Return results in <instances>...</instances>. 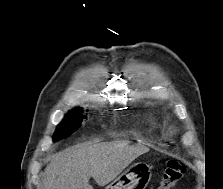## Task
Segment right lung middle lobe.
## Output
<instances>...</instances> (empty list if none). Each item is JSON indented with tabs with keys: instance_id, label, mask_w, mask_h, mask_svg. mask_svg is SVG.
I'll return each mask as SVG.
<instances>
[{
	"instance_id": "dd1d6c3e",
	"label": "right lung middle lobe",
	"mask_w": 223,
	"mask_h": 189,
	"mask_svg": "<svg viewBox=\"0 0 223 189\" xmlns=\"http://www.w3.org/2000/svg\"><path fill=\"white\" fill-rule=\"evenodd\" d=\"M81 111L82 109L78 108L66 114L64 120L58 125L56 129L54 134V141L67 138L81 126V122L83 121Z\"/></svg>"
}]
</instances>
